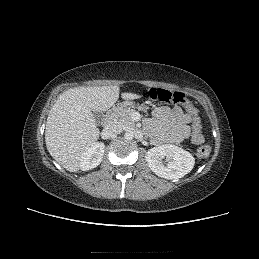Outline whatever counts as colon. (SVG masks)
Segmentation results:
<instances>
[{"label": "colon", "mask_w": 259, "mask_h": 259, "mask_svg": "<svg viewBox=\"0 0 259 259\" xmlns=\"http://www.w3.org/2000/svg\"><path fill=\"white\" fill-rule=\"evenodd\" d=\"M148 96L153 101L163 103H174L176 105L183 106L189 113L188 118L192 123V138L191 143L195 144L199 149L197 150V156L204 159L209 156L211 147L208 144H204L202 129H201V115L188 100L186 95L182 92H170L164 89L152 88L148 91Z\"/></svg>", "instance_id": "colon-1"}]
</instances>
